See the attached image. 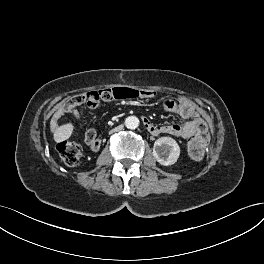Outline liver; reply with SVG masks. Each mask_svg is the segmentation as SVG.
I'll use <instances>...</instances> for the list:
<instances>
[{"label": "liver", "instance_id": "obj_1", "mask_svg": "<svg viewBox=\"0 0 264 264\" xmlns=\"http://www.w3.org/2000/svg\"><path fill=\"white\" fill-rule=\"evenodd\" d=\"M73 127L71 124H64L60 127H56L53 132V138L55 142L59 143L68 139L72 133Z\"/></svg>", "mask_w": 264, "mask_h": 264}]
</instances>
